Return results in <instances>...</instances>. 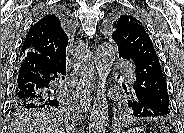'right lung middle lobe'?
I'll return each instance as SVG.
<instances>
[{"mask_svg": "<svg viewBox=\"0 0 184 133\" xmlns=\"http://www.w3.org/2000/svg\"><path fill=\"white\" fill-rule=\"evenodd\" d=\"M62 105H63L62 99L60 101H57L47 106H42V105L32 106V105H27V104H17L13 100L12 110L14 112V115H18V116L31 114L34 111L42 110V109L55 113V112H58V110L61 108Z\"/></svg>", "mask_w": 184, "mask_h": 133, "instance_id": "dd1d6c3e", "label": "right lung middle lobe"}]
</instances>
